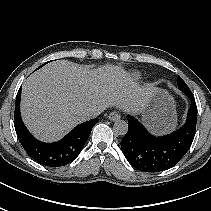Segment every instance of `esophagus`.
I'll list each match as a JSON object with an SVG mask.
<instances>
[{
  "mask_svg": "<svg viewBox=\"0 0 211 211\" xmlns=\"http://www.w3.org/2000/svg\"><path fill=\"white\" fill-rule=\"evenodd\" d=\"M121 118L120 113L113 111L108 115V119L111 121H117Z\"/></svg>",
  "mask_w": 211,
  "mask_h": 211,
  "instance_id": "obj_1",
  "label": "esophagus"
}]
</instances>
